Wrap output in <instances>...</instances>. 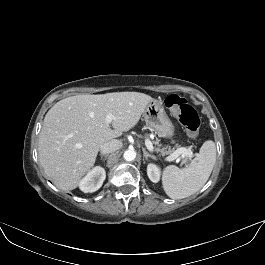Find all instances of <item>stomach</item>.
<instances>
[{"label":"stomach","mask_w":265,"mask_h":265,"mask_svg":"<svg viewBox=\"0 0 265 265\" xmlns=\"http://www.w3.org/2000/svg\"><path fill=\"white\" fill-rule=\"evenodd\" d=\"M144 120L159 137H172L174 126L166 114L162 102L153 99L143 112Z\"/></svg>","instance_id":"obj_1"}]
</instances>
